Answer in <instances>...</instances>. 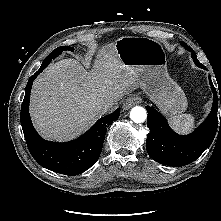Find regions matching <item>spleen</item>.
<instances>
[{
  "label": "spleen",
  "mask_w": 221,
  "mask_h": 221,
  "mask_svg": "<svg viewBox=\"0 0 221 221\" xmlns=\"http://www.w3.org/2000/svg\"><path fill=\"white\" fill-rule=\"evenodd\" d=\"M170 124L180 133H187L195 126V118L190 114L175 115L171 118Z\"/></svg>",
  "instance_id": "1"
}]
</instances>
